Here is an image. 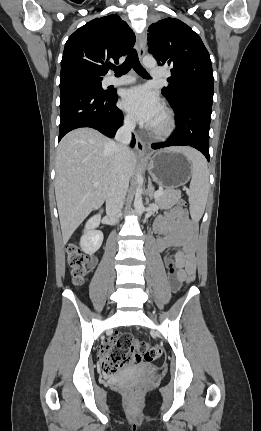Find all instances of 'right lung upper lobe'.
<instances>
[{"label": "right lung upper lobe", "mask_w": 261, "mask_h": 431, "mask_svg": "<svg viewBox=\"0 0 261 431\" xmlns=\"http://www.w3.org/2000/svg\"><path fill=\"white\" fill-rule=\"evenodd\" d=\"M134 43L133 31L116 14L96 18L77 29L67 40L61 73L82 70L104 77L111 61L118 63Z\"/></svg>", "instance_id": "right-lung-upper-lobe-1"}]
</instances>
